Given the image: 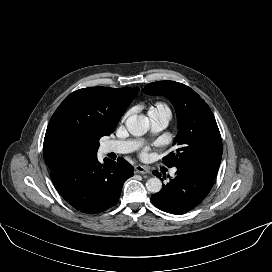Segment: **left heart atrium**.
<instances>
[{"label": "left heart atrium", "instance_id": "obj_1", "mask_svg": "<svg viewBox=\"0 0 272 272\" xmlns=\"http://www.w3.org/2000/svg\"><path fill=\"white\" fill-rule=\"evenodd\" d=\"M141 156H142V157H146V156H147V151H143V152L141 153Z\"/></svg>", "mask_w": 272, "mask_h": 272}]
</instances>
